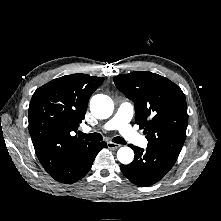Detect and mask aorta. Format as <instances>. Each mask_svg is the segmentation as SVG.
Returning <instances> with one entry per match:
<instances>
[{"mask_svg":"<svg viewBox=\"0 0 221 221\" xmlns=\"http://www.w3.org/2000/svg\"><path fill=\"white\" fill-rule=\"evenodd\" d=\"M114 104L112 99L103 94H97L91 98V113L98 119H106L113 113ZM117 158L122 164H129L134 159V152L130 147H121L117 152Z\"/></svg>","mask_w":221,"mask_h":221,"instance_id":"1","label":"aorta"}]
</instances>
